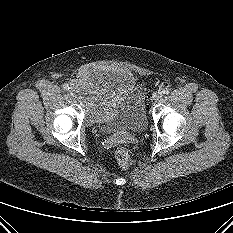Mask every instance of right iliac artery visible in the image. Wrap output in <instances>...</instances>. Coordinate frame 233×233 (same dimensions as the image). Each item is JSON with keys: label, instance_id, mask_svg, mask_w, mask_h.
I'll list each match as a JSON object with an SVG mask.
<instances>
[{"label": "right iliac artery", "instance_id": "obj_1", "mask_svg": "<svg viewBox=\"0 0 233 233\" xmlns=\"http://www.w3.org/2000/svg\"><path fill=\"white\" fill-rule=\"evenodd\" d=\"M63 89H64V90H69V89H70V88H69V85H68V84H64V85H63Z\"/></svg>", "mask_w": 233, "mask_h": 233}]
</instances>
